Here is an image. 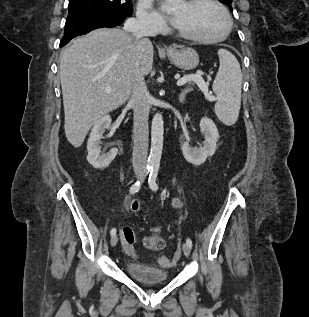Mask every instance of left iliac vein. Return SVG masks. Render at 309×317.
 Instances as JSON below:
<instances>
[{"instance_id":"1","label":"left iliac vein","mask_w":309,"mask_h":317,"mask_svg":"<svg viewBox=\"0 0 309 317\" xmlns=\"http://www.w3.org/2000/svg\"><path fill=\"white\" fill-rule=\"evenodd\" d=\"M182 250L186 257H188L191 253V247L187 243H183Z\"/></svg>"}]
</instances>
